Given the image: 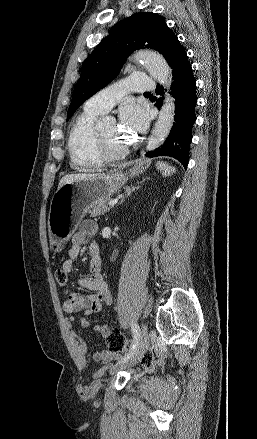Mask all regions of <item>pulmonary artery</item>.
Wrapping results in <instances>:
<instances>
[{"label": "pulmonary artery", "mask_w": 257, "mask_h": 439, "mask_svg": "<svg viewBox=\"0 0 257 439\" xmlns=\"http://www.w3.org/2000/svg\"><path fill=\"white\" fill-rule=\"evenodd\" d=\"M156 89V82L145 73L130 74L124 81L108 86L93 95L84 109L98 113H106L113 108L127 91L150 93Z\"/></svg>", "instance_id": "pulmonary-artery-1"}]
</instances>
